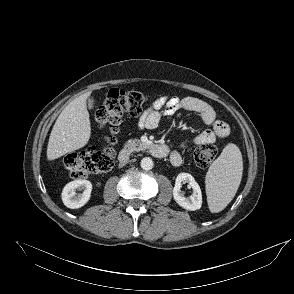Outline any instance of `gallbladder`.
<instances>
[{"label":"gallbladder","instance_id":"gallbladder-1","mask_svg":"<svg viewBox=\"0 0 294 294\" xmlns=\"http://www.w3.org/2000/svg\"><path fill=\"white\" fill-rule=\"evenodd\" d=\"M94 105H95V99H94V97L88 98V101H87L88 108L89 109H93L94 108Z\"/></svg>","mask_w":294,"mask_h":294}]
</instances>
